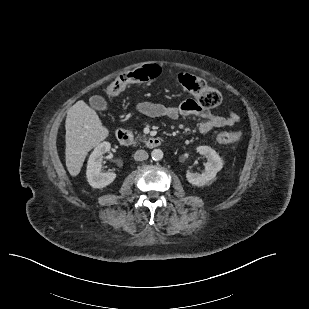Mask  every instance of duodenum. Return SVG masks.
Wrapping results in <instances>:
<instances>
[{
    "label": "duodenum",
    "instance_id": "1",
    "mask_svg": "<svg viewBox=\"0 0 309 309\" xmlns=\"http://www.w3.org/2000/svg\"><path fill=\"white\" fill-rule=\"evenodd\" d=\"M117 140L121 145L129 146L133 143V135L132 133L124 128H120L116 131ZM161 145V140L157 137H149L146 140V146L148 148H156Z\"/></svg>",
    "mask_w": 309,
    "mask_h": 309
}]
</instances>
